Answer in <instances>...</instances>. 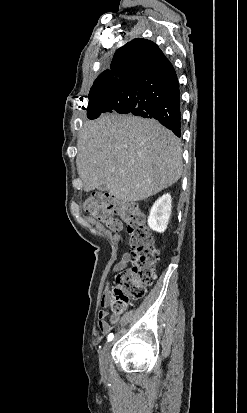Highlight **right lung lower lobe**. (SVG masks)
Returning a JSON list of instances; mask_svg holds the SVG:
<instances>
[{
  "mask_svg": "<svg viewBox=\"0 0 247 413\" xmlns=\"http://www.w3.org/2000/svg\"><path fill=\"white\" fill-rule=\"evenodd\" d=\"M125 82L132 88L128 96H111L87 110L89 119L117 111L154 118L181 136L180 90L176 72L170 63L157 72H135Z\"/></svg>",
  "mask_w": 247,
  "mask_h": 413,
  "instance_id": "1",
  "label": "right lung lower lobe"
}]
</instances>
